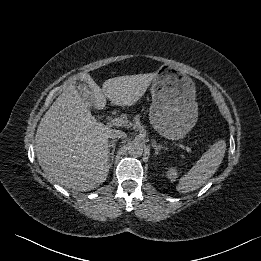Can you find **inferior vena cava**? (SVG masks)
<instances>
[{"mask_svg":"<svg viewBox=\"0 0 261 261\" xmlns=\"http://www.w3.org/2000/svg\"><path fill=\"white\" fill-rule=\"evenodd\" d=\"M125 137H126V133H124L123 131L112 129L109 132V138H112V139L125 138Z\"/></svg>","mask_w":261,"mask_h":261,"instance_id":"602c4592","label":"inferior vena cava"}]
</instances>
